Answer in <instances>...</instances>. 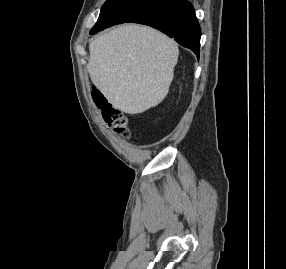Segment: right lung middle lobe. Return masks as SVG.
<instances>
[{"instance_id": "obj_1", "label": "right lung middle lobe", "mask_w": 286, "mask_h": 269, "mask_svg": "<svg viewBox=\"0 0 286 269\" xmlns=\"http://www.w3.org/2000/svg\"><path fill=\"white\" fill-rule=\"evenodd\" d=\"M160 0H106L92 32L125 23Z\"/></svg>"}]
</instances>
